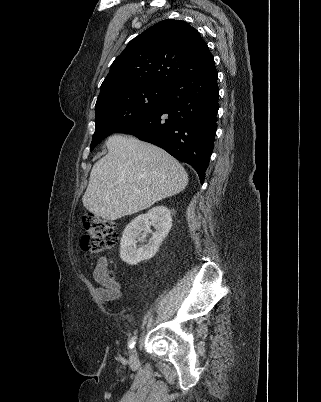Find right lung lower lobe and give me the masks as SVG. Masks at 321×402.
I'll use <instances>...</instances> for the list:
<instances>
[{
    "label": "right lung lower lobe",
    "instance_id": "obj_1",
    "mask_svg": "<svg viewBox=\"0 0 321 402\" xmlns=\"http://www.w3.org/2000/svg\"><path fill=\"white\" fill-rule=\"evenodd\" d=\"M217 75L212 63L179 78L166 87L156 110L117 132L155 144L190 164L203 184L217 128Z\"/></svg>",
    "mask_w": 321,
    "mask_h": 402
}]
</instances>
